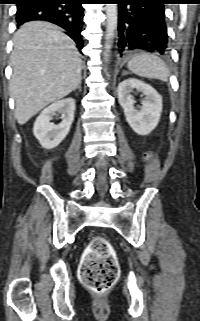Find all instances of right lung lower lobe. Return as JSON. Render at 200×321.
<instances>
[{
    "instance_id": "98d812e1",
    "label": "right lung lower lobe",
    "mask_w": 200,
    "mask_h": 321,
    "mask_svg": "<svg viewBox=\"0 0 200 321\" xmlns=\"http://www.w3.org/2000/svg\"><path fill=\"white\" fill-rule=\"evenodd\" d=\"M84 0H21L17 3L16 22L20 26L26 22L42 20L54 23L66 30L67 34L83 47V7Z\"/></svg>"
}]
</instances>
